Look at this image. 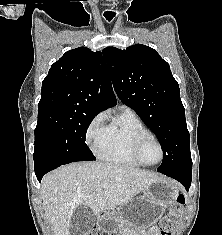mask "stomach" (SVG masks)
Masks as SVG:
<instances>
[{
  "mask_svg": "<svg viewBox=\"0 0 222 235\" xmlns=\"http://www.w3.org/2000/svg\"><path fill=\"white\" fill-rule=\"evenodd\" d=\"M179 195L178 185L170 180H158L145 188L116 210L98 218V227L105 233L122 235H148L166 207Z\"/></svg>",
  "mask_w": 222,
  "mask_h": 235,
  "instance_id": "0dacf381",
  "label": "stomach"
}]
</instances>
